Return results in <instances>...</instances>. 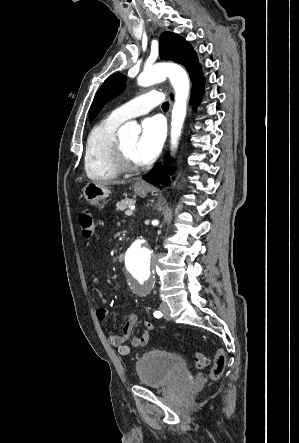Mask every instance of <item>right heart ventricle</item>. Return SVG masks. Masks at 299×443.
Listing matches in <instances>:
<instances>
[{
	"instance_id": "1",
	"label": "right heart ventricle",
	"mask_w": 299,
	"mask_h": 443,
	"mask_svg": "<svg viewBox=\"0 0 299 443\" xmlns=\"http://www.w3.org/2000/svg\"><path fill=\"white\" fill-rule=\"evenodd\" d=\"M122 122L108 116L90 131L86 141L84 167L91 180H110L118 176L113 151L118 140L117 129Z\"/></svg>"
}]
</instances>
